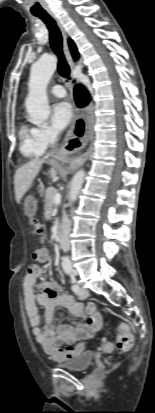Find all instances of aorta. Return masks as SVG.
<instances>
[{
  "mask_svg": "<svg viewBox=\"0 0 155 413\" xmlns=\"http://www.w3.org/2000/svg\"><path fill=\"white\" fill-rule=\"evenodd\" d=\"M56 67L57 59L52 55L42 56L31 67L28 84L29 93L25 101V106L29 121L34 125H41L47 120L50 114L46 89ZM84 177V170L77 171L73 176L69 193V205L76 200L83 186ZM62 267L65 270L72 268L71 261L68 257L62 258Z\"/></svg>",
  "mask_w": 155,
  "mask_h": 413,
  "instance_id": "762f6f07",
  "label": "aorta"
}]
</instances>
